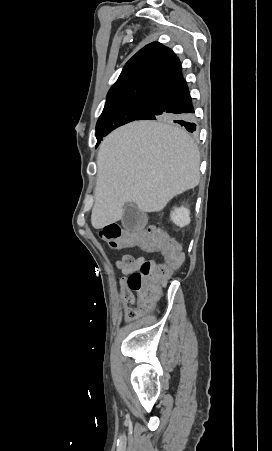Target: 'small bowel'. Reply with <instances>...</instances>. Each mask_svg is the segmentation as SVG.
Wrapping results in <instances>:
<instances>
[{
	"mask_svg": "<svg viewBox=\"0 0 272 451\" xmlns=\"http://www.w3.org/2000/svg\"><path fill=\"white\" fill-rule=\"evenodd\" d=\"M117 267H118V265H117ZM120 271L124 275V277L120 280V292H121V297L125 303V311H135L137 314V317H139L142 315L143 311H145V310L138 309V308L133 309L128 306V304H135L138 301V300H133L132 295L128 294V289L126 288V281H127V277L129 275L130 270H120Z\"/></svg>",
	"mask_w": 272,
	"mask_h": 451,
	"instance_id": "c3829d8e",
	"label": "small bowel"
}]
</instances>
